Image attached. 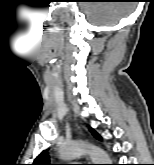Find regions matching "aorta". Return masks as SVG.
Instances as JSON below:
<instances>
[{
    "mask_svg": "<svg viewBox=\"0 0 154 165\" xmlns=\"http://www.w3.org/2000/svg\"><path fill=\"white\" fill-rule=\"evenodd\" d=\"M84 153L90 154L94 164H111L109 155L103 149L83 142L63 145L59 150V157L63 161H70Z\"/></svg>",
    "mask_w": 154,
    "mask_h": 165,
    "instance_id": "1",
    "label": "aorta"
}]
</instances>
